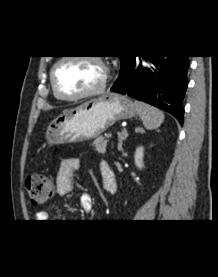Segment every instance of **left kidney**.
I'll return each mask as SVG.
<instances>
[{
    "label": "left kidney",
    "instance_id": "5707ae66",
    "mask_svg": "<svg viewBox=\"0 0 218 277\" xmlns=\"http://www.w3.org/2000/svg\"><path fill=\"white\" fill-rule=\"evenodd\" d=\"M143 157H144V147L142 146L137 147L134 154V162L139 169L144 168Z\"/></svg>",
    "mask_w": 218,
    "mask_h": 277
}]
</instances>
